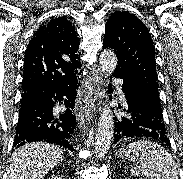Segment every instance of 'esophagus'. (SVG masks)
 Instances as JSON below:
<instances>
[{
    "instance_id": "34e87169",
    "label": "esophagus",
    "mask_w": 183,
    "mask_h": 179,
    "mask_svg": "<svg viewBox=\"0 0 183 179\" xmlns=\"http://www.w3.org/2000/svg\"><path fill=\"white\" fill-rule=\"evenodd\" d=\"M103 82V74L100 69H97L93 76L88 80V87L91 93L90 104L83 109H77L76 119L78 126L81 129H86L85 120H90L95 111L96 101L100 95L101 86Z\"/></svg>"
}]
</instances>
